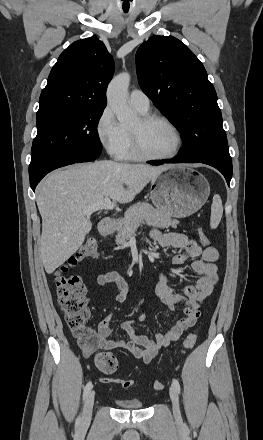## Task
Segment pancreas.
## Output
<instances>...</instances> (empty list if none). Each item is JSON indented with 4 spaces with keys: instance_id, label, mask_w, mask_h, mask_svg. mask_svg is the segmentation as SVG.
I'll use <instances>...</instances> for the list:
<instances>
[{
    "instance_id": "pancreas-1",
    "label": "pancreas",
    "mask_w": 263,
    "mask_h": 440,
    "mask_svg": "<svg viewBox=\"0 0 263 440\" xmlns=\"http://www.w3.org/2000/svg\"><path fill=\"white\" fill-rule=\"evenodd\" d=\"M146 223L149 226L159 228L173 227L177 228L179 221L172 219L161 211L155 209L149 203H137L131 206L124 215V218L117 222V235L115 242L117 245L124 247L127 240L136 231L139 224Z\"/></svg>"
}]
</instances>
